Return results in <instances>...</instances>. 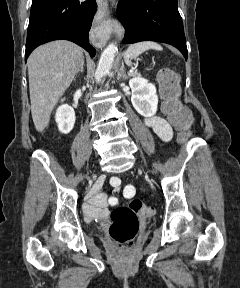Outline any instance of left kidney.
<instances>
[{
    "instance_id": "obj_1",
    "label": "left kidney",
    "mask_w": 240,
    "mask_h": 288,
    "mask_svg": "<svg viewBox=\"0 0 240 288\" xmlns=\"http://www.w3.org/2000/svg\"><path fill=\"white\" fill-rule=\"evenodd\" d=\"M129 85L132 90L131 102L135 110L144 117L154 116L158 105L156 87L141 77L132 78Z\"/></svg>"
}]
</instances>
